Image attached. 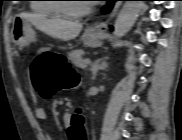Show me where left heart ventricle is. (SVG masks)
I'll use <instances>...</instances> for the list:
<instances>
[{
    "label": "left heart ventricle",
    "instance_id": "b2bd125f",
    "mask_svg": "<svg viewBox=\"0 0 182 140\" xmlns=\"http://www.w3.org/2000/svg\"><path fill=\"white\" fill-rule=\"evenodd\" d=\"M86 5V3H84V1H68L67 3V7L73 11H77L80 10L82 8H84Z\"/></svg>",
    "mask_w": 182,
    "mask_h": 140
}]
</instances>
